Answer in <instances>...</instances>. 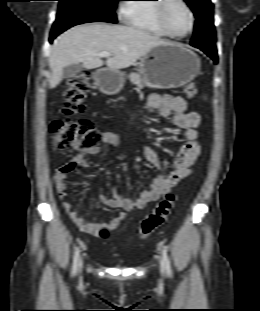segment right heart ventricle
I'll list each match as a JSON object with an SVG mask.
<instances>
[{
  "mask_svg": "<svg viewBox=\"0 0 260 311\" xmlns=\"http://www.w3.org/2000/svg\"><path fill=\"white\" fill-rule=\"evenodd\" d=\"M134 2H149L153 0H133ZM156 4L131 3L123 11L126 22L132 27L148 32L158 37H166L160 28L155 15Z\"/></svg>",
  "mask_w": 260,
  "mask_h": 311,
  "instance_id": "1",
  "label": "right heart ventricle"
}]
</instances>
